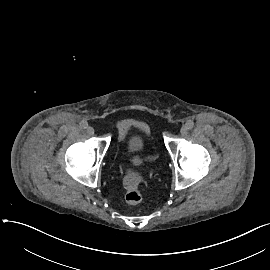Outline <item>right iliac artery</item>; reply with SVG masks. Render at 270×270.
Instances as JSON below:
<instances>
[{
	"mask_svg": "<svg viewBox=\"0 0 270 270\" xmlns=\"http://www.w3.org/2000/svg\"><path fill=\"white\" fill-rule=\"evenodd\" d=\"M80 127L83 129H86L88 127V123L86 121H81L80 122Z\"/></svg>",
	"mask_w": 270,
	"mask_h": 270,
	"instance_id": "obj_1",
	"label": "right iliac artery"
}]
</instances>
